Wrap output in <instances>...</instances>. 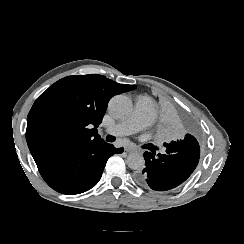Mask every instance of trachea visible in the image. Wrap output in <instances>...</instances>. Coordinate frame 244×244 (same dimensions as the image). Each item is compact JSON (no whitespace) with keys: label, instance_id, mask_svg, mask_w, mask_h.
Returning <instances> with one entry per match:
<instances>
[{"label":"trachea","instance_id":"trachea-1","mask_svg":"<svg viewBox=\"0 0 244 244\" xmlns=\"http://www.w3.org/2000/svg\"><path fill=\"white\" fill-rule=\"evenodd\" d=\"M106 140H107L108 142H114V141L116 140V138H115L114 136L107 135Z\"/></svg>","mask_w":244,"mask_h":244}]
</instances>
